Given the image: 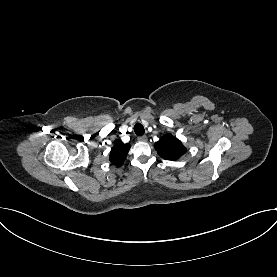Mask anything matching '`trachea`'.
<instances>
[{"label":"trachea","mask_w":277,"mask_h":277,"mask_svg":"<svg viewBox=\"0 0 277 277\" xmlns=\"http://www.w3.org/2000/svg\"><path fill=\"white\" fill-rule=\"evenodd\" d=\"M134 132L137 136H142L145 133L144 127L140 123L134 125Z\"/></svg>","instance_id":"trachea-1"}]
</instances>
